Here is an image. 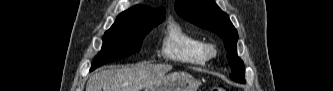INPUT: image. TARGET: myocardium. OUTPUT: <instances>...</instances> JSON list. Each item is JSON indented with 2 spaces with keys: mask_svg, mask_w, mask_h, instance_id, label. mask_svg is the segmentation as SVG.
Wrapping results in <instances>:
<instances>
[{
  "mask_svg": "<svg viewBox=\"0 0 333 91\" xmlns=\"http://www.w3.org/2000/svg\"><path fill=\"white\" fill-rule=\"evenodd\" d=\"M217 48L214 44H206L205 45V55L207 58H212L216 55Z\"/></svg>",
  "mask_w": 333,
  "mask_h": 91,
  "instance_id": "f54148a6",
  "label": "myocardium"
}]
</instances>
